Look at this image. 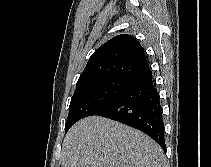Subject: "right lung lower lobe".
<instances>
[{"instance_id":"right-lung-lower-lobe-1","label":"right lung lower lobe","mask_w":211,"mask_h":167,"mask_svg":"<svg viewBox=\"0 0 211 167\" xmlns=\"http://www.w3.org/2000/svg\"><path fill=\"white\" fill-rule=\"evenodd\" d=\"M131 85L93 115L103 116L136 128L166 151L160 97L150 68L129 78Z\"/></svg>"}]
</instances>
